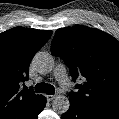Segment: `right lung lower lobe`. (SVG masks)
I'll return each instance as SVG.
<instances>
[{
    "label": "right lung lower lobe",
    "instance_id": "1",
    "mask_svg": "<svg viewBox=\"0 0 119 119\" xmlns=\"http://www.w3.org/2000/svg\"><path fill=\"white\" fill-rule=\"evenodd\" d=\"M46 104V99H44V102L42 103L38 113L36 114V116L34 117V119H38V114L43 110V108L45 107Z\"/></svg>",
    "mask_w": 119,
    "mask_h": 119
}]
</instances>
